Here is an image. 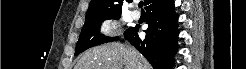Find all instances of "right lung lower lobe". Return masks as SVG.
Masks as SVG:
<instances>
[{"label": "right lung lower lobe", "instance_id": "right-lung-lower-lobe-1", "mask_svg": "<svg viewBox=\"0 0 246 69\" xmlns=\"http://www.w3.org/2000/svg\"><path fill=\"white\" fill-rule=\"evenodd\" d=\"M148 29L145 38L138 36L139 25L130 27L125 38L150 62L154 69H171L177 51V15L173 0H157L146 8Z\"/></svg>", "mask_w": 246, "mask_h": 69}]
</instances>
